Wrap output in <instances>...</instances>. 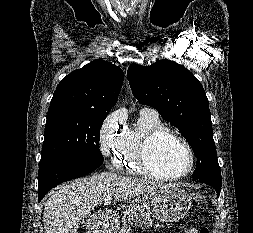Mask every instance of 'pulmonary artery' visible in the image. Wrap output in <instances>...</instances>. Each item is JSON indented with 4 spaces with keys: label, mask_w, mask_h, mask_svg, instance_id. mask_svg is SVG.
I'll return each instance as SVG.
<instances>
[{
    "label": "pulmonary artery",
    "mask_w": 253,
    "mask_h": 233,
    "mask_svg": "<svg viewBox=\"0 0 253 233\" xmlns=\"http://www.w3.org/2000/svg\"><path fill=\"white\" fill-rule=\"evenodd\" d=\"M140 113H145V114H158L156 110L149 108V107H144L141 109Z\"/></svg>",
    "instance_id": "pulmonary-artery-1"
}]
</instances>
